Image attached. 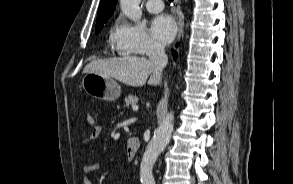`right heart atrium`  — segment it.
<instances>
[{"instance_id":"1","label":"right heart atrium","mask_w":293,"mask_h":184,"mask_svg":"<svg viewBox=\"0 0 293 184\" xmlns=\"http://www.w3.org/2000/svg\"><path fill=\"white\" fill-rule=\"evenodd\" d=\"M113 44L116 51L122 55H156L163 50L143 25L131 23L124 18L116 21Z\"/></svg>"}]
</instances>
